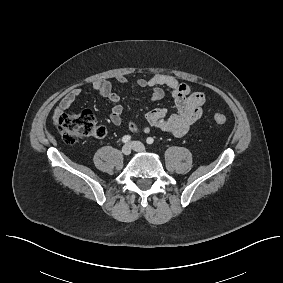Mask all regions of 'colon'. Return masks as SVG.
I'll use <instances>...</instances> for the list:
<instances>
[{
	"label": "colon",
	"mask_w": 283,
	"mask_h": 283,
	"mask_svg": "<svg viewBox=\"0 0 283 283\" xmlns=\"http://www.w3.org/2000/svg\"><path fill=\"white\" fill-rule=\"evenodd\" d=\"M213 121L217 125H224L227 117L216 113ZM57 128L62 139L73 144L84 138H101L105 135V128L98 124L95 116L89 111L63 114L58 118Z\"/></svg>",
	"instance_id": "5ec220e1"
}]
</instances>
